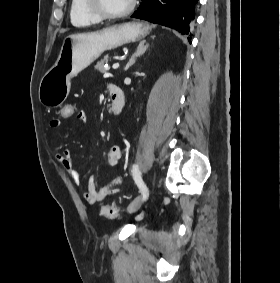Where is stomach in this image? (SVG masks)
Here are the masks:
<instances>
[{"label": "stomach", "instance_id": "1", "mask_svg": "<svg viewBox=\"0 0 280 283\" xmlns=\"http://www.w3.org/2000/svg\"><path fill=\"white\" fill-rule=\"evenodd\" d=\"M151 31L144 22H128L106 27L99 31L76 33L67 36L61 46L55 65L40 81L39 100L49 108L61 106L67 98L71 79L105 51L146 37Z\"/></svg>", "mask_w": 280, "mask_h": 283}]
</instances>
